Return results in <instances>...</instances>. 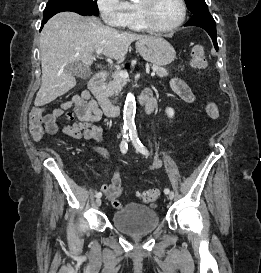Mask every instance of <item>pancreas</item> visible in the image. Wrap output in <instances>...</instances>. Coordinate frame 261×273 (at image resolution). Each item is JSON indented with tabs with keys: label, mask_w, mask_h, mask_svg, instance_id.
<instances>
[{
	"label": "pancreas",
	"mask_w": 261,
	"mask_h": 273,
	"mask_svg": "<svg viewBox=\"0 0 261 273\" xmlns=\"http://www.w3.org/2000/svg\"><path fill=\"white\" fill-rule=\"evenodd\" d=\"M152 70L159 77H166L169 75V71L157 65H153ZM127 81V79L120 77L118 72H115L112 74V79L108 83L104 84L103 90L107 96L113 97L114 95H118L121 92L123 87L127 84Z\"/></svg>",
	"instance_id": "obj_1"
}]
</instances>
